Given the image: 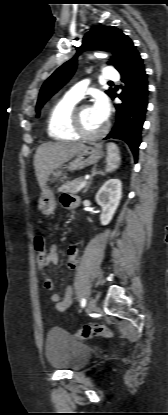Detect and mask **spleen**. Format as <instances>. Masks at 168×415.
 <instances>
[{
	"label": "spleen",
	"instance_id": "spleen-1",
	"mask_svg": "<svg viewBox=\"0 0 168 415\" xmlns=\"http://www.w3.org/2000/svg\"><path fill=\"white\" fill-rule=\"evenodd\" d=\"M107 166L105 169L106 173H110L115 171L120 165V154L119 148L115 143H108L107 144Z\"/></svg>",
	"mask_w": 168,
	"mask_h": 415
}]
</instances>
